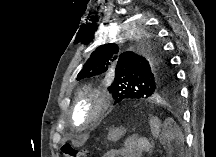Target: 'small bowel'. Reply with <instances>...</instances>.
I'll list each match as a JSON object with an SVG mask.
<instances>
[{"mask_svg":"<svg viewBox=\"0 0 216 157\" xmlns=\"http://www.w3.org/2000/svg\"><path fill=\"white\" fill-rule=\"evenodd\" d=\"M146 143L136 139L126 143L119 149L109 152L110 157H139L146 150Z\"/></svg>","mask_w":216,"mask_h":157,"instance_id":"1","label":"small bowel"}]
</instances>
